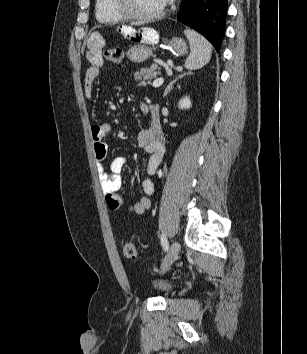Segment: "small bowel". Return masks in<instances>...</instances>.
<instances>
[{"mask_svg": "<svg viewBox=\"0 0 307 354\" xmlns=\"http://www.w3.org/2000/svg\"><path fill=\"white\" fill-rule=\"evenodd\" d=\"M137 36L138 29H125V31H122V38H137ZM104 45L102 38H91L87 45L86 60L89 66L85 71L83 80L84 93L87 98L92 97L94 83L102 74ZM141 108L144 114L150 118V124L147 128L140 131L137 140L139 147L149 155L147 172L149 175H154L165 153L164 136L158 121L157 108L145 103L141 105ZM110 131L111 125L108 122L95 124L91 127V137L98 162L102 191L108 208L116 211L123 205V199L117 191L122 185L121 173L126 164V159L122 156L115 157L110 163L109 170L106 171L104 169L103 162L108 153V144L105 139ZM141 190L144 195L139 201L129 207L130 213L141 215L151 206L150 197L155 191L153 181L150 178H144L141 181Z\"/></svg>", "mask_w": 307, "mask_h": 354, "instance_id": "c3829d8e", "label": "small bowel"}]
</instances>
